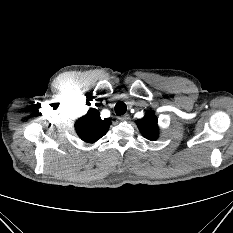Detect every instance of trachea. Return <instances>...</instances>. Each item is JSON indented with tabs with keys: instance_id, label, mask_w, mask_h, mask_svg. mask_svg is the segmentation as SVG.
<instances>
[{
	"instance_id": "1",
	"label": "trachea",
	"mask_w": 233,
	"mask_h": 233,
	"mask_svg": "<svg viewBox=\"0 0 233 233\" xmlns=\"http://www.w3.org/2000/svg\"><path fill=\"white\" fill-rule=\"evenodd\" d=\"M126 110L127 106L123 101H120L115 105V112L118 116L125 114Z\"/></svg>"
}]
</instances>
